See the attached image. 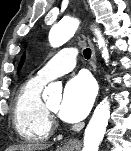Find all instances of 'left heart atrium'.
Returning <instances> with one entry per match:
<instances>
[{"label":"left heart atrium","mask_w":131,"mask_h":151,"mask_svg":"<svg viewBox=\"0 0 131 151\" xmlns=\"http://www.w3.org/2000/svg\"><path fill=\"white\" fill-rule=\"evenodd\" d=\"M95 83L87 74H79L66 84L59 106L60 117L67 122L85 118L95 98Z\"/></svg>","instance_id":"left-heart-atrium-1"}]
</instances>
